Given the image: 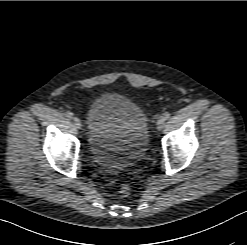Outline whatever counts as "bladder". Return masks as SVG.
<instances>
[{"mask_svg": "<svg viewBox=\"0 0 247 245\" xmlns=\"http://www.w3.org/2000/svg\"><path fill=\"white\" fill-rule=\"evenodd\" d=\"M88 139L97 163L111 171L136 166L146 153L147 117L119 93L98 96L88 109Z\"/></svg>", "mask_w": 247, "mask_h": 245, "instance_id": "1", "label": "bladder"}]
</instances>
